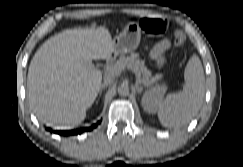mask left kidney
I'll use <instances>...</instances> for the list:
<instances>
[{"instance_id":"1","label":"left kidney","mask_w":243,"mask_h":167,"mask_svg":"<svg viewBox=\"0 0 243 167\" xmlns=\"http://www.w3.org/2000/svg\"><path fill=\"white\" fill-rule=\"evenodd\" d=\"M165 88L162 86L154 87L146 91L142 98V105L145 110L152 112L155 106L162 100Z\"/></svg>"}]
</instances>
